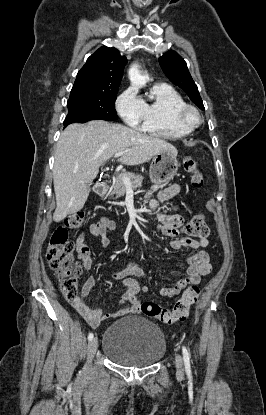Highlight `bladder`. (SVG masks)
Segmentation results:
<instances>
[{"mask_svg": "<svg viewBox=\"0 0 266 415\" xmlns=\"http://www.w3.org/2000/svg\"><path fill=\"white\" fill-rule=\"evenodd\" d=\"M102 351L107 358L121 366L147 367L163 357L166 340L156 324L141 316H131L108 326Z\"/></svg>", "mask_w": 266, "mask_h": 415, "instance_id": "31cf9c89", "label": "bladder"}]
</instances>
